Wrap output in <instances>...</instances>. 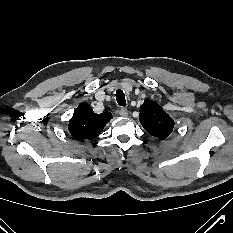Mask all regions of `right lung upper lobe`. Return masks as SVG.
I'll use <instances>...</instances> for the list:
<instances>
[{
    "instance_id": "right-lung-upper-lobe-1",
    "label": "right lung upper lobe",
    "mask_w": 233,
    "mask_h": 233,
    "mask_svg": "<svg viewBox=\"0 0 233 233\" xmlns=\"http://www.w3.org/2000/svg\"><path fill=\"white\" fill-rule=\"evenodd\" d=\"M111 119L110 112L96 114L88 103L81 102L69 120L68 130L76 140H93Z\"/></svg>"
}]
</instances>
